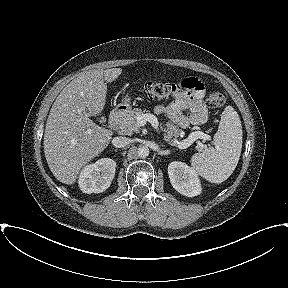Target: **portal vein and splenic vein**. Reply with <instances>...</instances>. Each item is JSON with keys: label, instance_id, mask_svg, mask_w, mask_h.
<instances>
[{"label": "portal vein and splenic vein", "instance_id": "18ae733b", "mask_svg": "<svg viewBox=\"0 0 288 288\" xmlns=\"http://www.w3.org/2000/svg\"><path fill=\"white\" fill-rule=\"evenodd\" d=\"M150 122L155 128L158 127V120L157 118L150 113L142 114L137 117V123L139 126H144L146 122ZM197 139H209V136L203 132H192L189 137L185 140H182L181 142H178V148L179 149H185L189 147L194 141ZM198 146L200 149H203L204 146L202 143H198Z\"/></svg>", "mask_w": 288, "mask_h": 288}]
</instances>
